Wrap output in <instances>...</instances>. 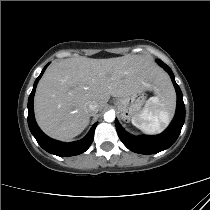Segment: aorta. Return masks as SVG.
<instances>
[{
  "instance_id": "aorta-1",
  "label": "aorta",
  "mask_w": 210,
  "mask_h": 210,
  "mask_svg": "<svg viewBox=\"0 0 210 210\" xmlns=\"http://www.w3.org/2000/svg\"><path fill=\"white\" fill-rule=\"evenodd\" d=\"M115 119V113L113 111H108L104 114V120L106 122H113Z\"/></svg>"
}]
</instances>
